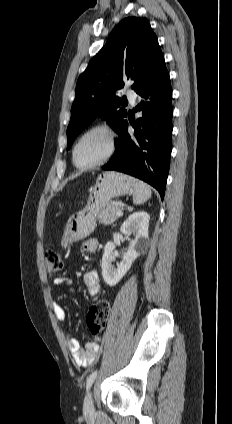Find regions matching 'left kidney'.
<instances>
[{
    "label": "left kidney",
    "mask_w": 232,
    "mask_h": 424,
    "mask_svg": "<svg viewBox=\"0 0 232 424\" xmlns=\"http://www.w3.org/2000/svg\"><path fill=\"white\" fill-rule=\"evenodd\" d=\"M150 216L145 211L134 212L122 224L120 231L125 236L134 235L129 243L128 251L122 261L117 264V268L112 266L114 260L113 251L115 245L108 242L104 248L102 257V276L109 286H115L128 270L131 268L134 260L143 253L149 245L148 228Z\"/></svg>",
    "instance_id": "1"
}]
</instances>
